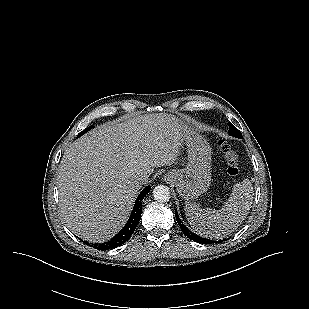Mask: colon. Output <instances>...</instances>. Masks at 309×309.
I'll list each match as a JSON object with an SVG mask.
<instances>
[{"mask_svg": "<svg viewBox=\"0 0 309 309\" xmlns=\"http://www.w3.org/2000/svg\"><path fill=\"white\" fill-rule=\"evenodd\" d=\"M218 146L223 154L230 176H237L240 171L239 157L233 147L225 140L218 141Z\"/></svg>", "mask_w": 309, "mask_h": 309, "instance_id": "1", "label": "colon"}]
</instances>
